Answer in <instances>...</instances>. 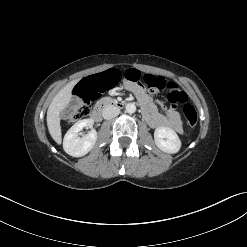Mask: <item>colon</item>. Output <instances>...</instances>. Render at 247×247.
<instances>
[{"label":"colon","mask_w":247,"mask_h":247,"mask_svg":"<svg viewBox=\"0 0 247 247\" xmlns=\"http://www.w3.org/2000/svg\"><path fill=\"white\" fill-rule=\"evenodd\" d=\"M124 78L129 82L141 84V81L152 91L159 92L166 90L167 99L172 105L185 103L187 96L178 85L173 82L166 83L161 77L154 75H144L135 69L125 71ZM123 77L120 71L114 68L99 71L93 76H84L75 84V93L79 97L80 102L72 104L68 109V121L76 122L86 118L91 111L90 103L95 100L99 94L114 91L120 88ZM183 114L187 125L193 128L197 124L198 115L193 105L185 103L183 106Z\"/></svg>","instance_id":"colon-1"}]
</instances>
